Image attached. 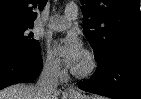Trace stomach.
Listing matches in <instances>:
<instances>
[{"mask_svg":"<svg viewBox=\"0 0 141 99\" xmlns=\"http://www.w3.org/2000/svg\"><path fill=\"white\" fill-rule=\"evenodd\" d=\"M69 99H86L85 96H75V97H70Z\"/></svg>","mask_w":141,"mask_h":99,"instance_id":"1","label":"stomach"}]
</instances>
